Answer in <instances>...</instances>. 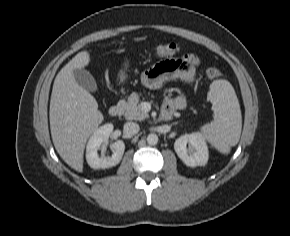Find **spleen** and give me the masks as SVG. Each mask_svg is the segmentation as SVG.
<instances>
[{
  "instance_id": "3e777b00",
  "label": "spleen",
  "mask_w": 290,
  "mask_h": 236,
  "mask_svg": "<svg viewBox=\"0 0 290 236\" xmlns=\"http://www.w3.org/2000/svg\"><path fill=\"white\" fill-rule=\"evenodd\" d=\"M209 98L214 107V120L200 130L204 138L223 154H228L241 135L242 116L232 85L224 79L212 82Z\"/></svg>"
}]
</instances>
